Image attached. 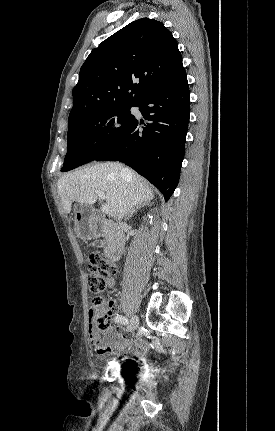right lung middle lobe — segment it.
Segmentation results:
<instances>
[{
	"label": "right lung middle lobe",
	"instance_id": "right-lung-middle-lobe-1",
	"mask_svg": "<svg viewBox=\"0 0 275 431\" xmlns=\"http://www.w3.org/2000/svg\"><path fill=\"white\" fill-rule=\"evenodd\" d=\"M133 105H116L68 123V150L62 172L95 160L132 124Z\"/></svg>",
	"mask_w": 275,
	"mask_h": 431
}]
</instances>
